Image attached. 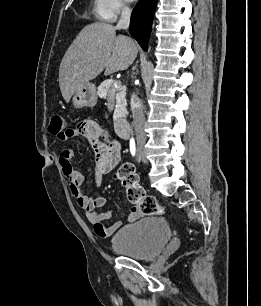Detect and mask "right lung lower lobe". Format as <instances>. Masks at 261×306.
Segmentation results:
<instances>
[{"label":"right lung lower lobe","instance_id":"1","mask_svg":"<svg viewBox=\"0 0 261 306\" xmlns=\"http://www.w3.org/2000/svg\"><path fill=\"white\" fill-rule=\"evenodd\" d=\"M157 0H139L132 11L130 33L146 50Z\"/></svg>","mask_w":261,"mask_h":306}]
</instances>
